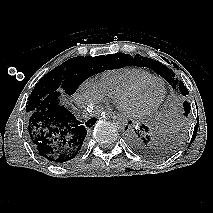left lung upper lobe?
Segmentation results:
<instances>
[{
	"label": "left lung upper lobe",
	"instance_id": "1",
	"mask_svg": "<svg viewBox=\"0 0 213 213\" xmlns=\"http://www.w3.org/2000/svg\"><path fill=\"white\" fill-rule=\"evenodd\" d=\"M126 57L128 62L125 65L148 67L152 69L153 71H155L157 74L161 75L173 87V89H178L181 95L183 96L188 95L189 92L186 86H184V83L181 80L179 81L178 79H176L175 74L170 69H168L165 65L161 64L160 62L153 61L152 59L145 58L141 55H137L136 57L127 55ZM183 107H184V115L188 116V113L190 112V104L187 101H185L183 103ZM162 148H163L164 154L166 153L168 154L170 149H172V144L168 145V142L166 144L163 141Z\"/></svg>",
	"mask_w": 213,
	"mask_h": 213
}]
</instances>
